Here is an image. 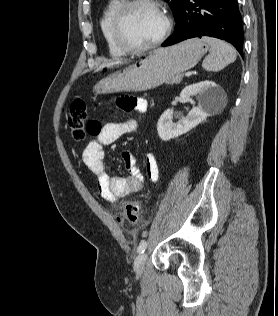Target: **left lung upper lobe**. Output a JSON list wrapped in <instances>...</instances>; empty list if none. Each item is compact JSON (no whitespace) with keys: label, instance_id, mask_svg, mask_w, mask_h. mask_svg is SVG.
I'll return each mask as SVG.
<instances>
[{"label":"left lung upper lobe","instance_id":"left-lung-upper-lobe-1","mask_svg":"<svg viewBox=\"0 0 278 316\" xmlns=\"http://www.w3.org/2000/svg\"><path fill=\"white\" fill-rule=\"evenodd\" d=\"M165 1L169 4V6L173 12L174 19L176 21V19L179 16L180 9H181V6H182V3L184 0H165Z\"/></svg>","mask_w":278,"mask_h":316}]
</instances>
